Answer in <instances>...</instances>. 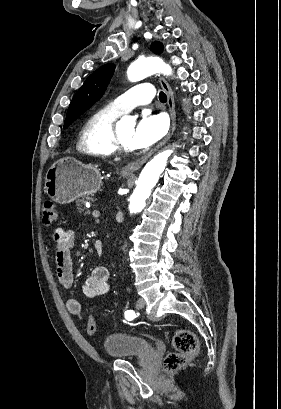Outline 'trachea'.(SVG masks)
I'll return each instance as SVG.
<instances>
[{"instance_id": "obj_1", "label": "trachea", "mask_w": 281, "mask_h": 409, "mask_svg": "<svg viewBox=\"0 0 281 409\" xmlns=\"http://www.w3.org/2000/svg\"><path fill=\"white\" fill-rule=\"evenodd\" d=\"M159 100H160V102H163V103H165L167 101V96H166V94L164 92L159 93Z\"/></svg>"}]
</instances>
